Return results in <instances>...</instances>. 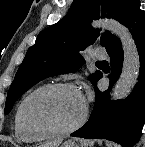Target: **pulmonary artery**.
I'll return each mask as SVG.
<instances>
[{"label": "pulmonary artery", "mask_w": 145, "mask_h": 147, "mask_svg": "<svg viewBox=\"0 0 145 147\" xmlns=\"http://www.w3.org/2000/svg\"><path fill=\"white\" fill-rule=\"evenodd\" d=\"M92 57L94 59H105L107 57V53L101 49H95L92 52Z\"/></svg>", "instance_id": "1"}]
</instances>
